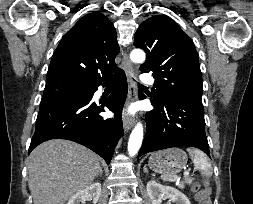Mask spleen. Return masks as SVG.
I'll return each mask as SVG.
<instances>
[{"instance_id": "1", "label": "spleen", "mask_w": 253, "mask_h": 204, "mask_svg": "<svg viewBox=\"0 0 253 204\" xmlns=\"http://www.w3.org/2000/svg\"><path fill=\"white\" fill-rule=\"evenodd\" d=\"M187 151L192 159L194 166L197 169H199L201 175L208 178L211 177L213 174V169H212L209 158L202 151L198 149L188 148ZM161 178L164 181L173 182L178 179V176L175 174L162 175ZM192 181H193V178L185 179V182L188 184H191Z\"/></svg>"}]
</instances>
